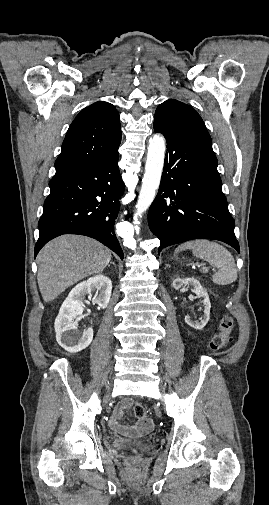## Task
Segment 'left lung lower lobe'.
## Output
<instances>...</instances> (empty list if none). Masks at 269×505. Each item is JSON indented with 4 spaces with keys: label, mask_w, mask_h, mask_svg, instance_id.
<instances>
[{
    "label": "left lung lower lobe",
    "mask_w": 269,
    "mask_h": 505,
    "mask_svg": "<svg viewBox=\"0 0 269 505\" xmlns=\"http://www.w3.org/2000/svg\"><path fill=\"white\" fill-rule=\"evenodd\" d=\"M167 141L158 194L148 223L163 248L192 239L223 241L240 252L234 220L222 192L209 133L198 126L154 120Z\"/></svg>",
    "instance_id": "left-lung-lower-lobe-1"
}]
</instances>
